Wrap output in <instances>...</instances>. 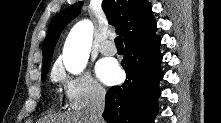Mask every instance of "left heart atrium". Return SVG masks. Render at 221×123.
Instances as JSON below:
<instances>
[{
  "label": "left heart atrium",
  "instance_id": "left-heart-atrium-1",
  "mask_svg": "<svg viewBox=\"0 0 221 123\" xmlns=\"http://www.w3.org/2000/svg\"><path fill=\"white\" fill-rule=\"evenodd\" d=\"M96 75L106 85H113L121 79V70L118 64L111 59H102L96 65Z\"/></svg>",
  "mask_w": 221,
  "mask_h": 123
}]
</instances>
